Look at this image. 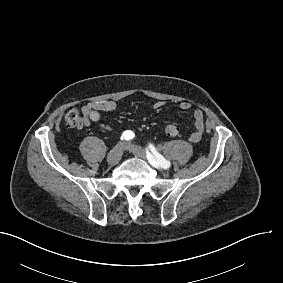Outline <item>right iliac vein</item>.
Here are the masks:
<instances>
[{
	"label": "right iliac vein",
	"mask_w": 283,
	"mask_h": 283,
	"mask_svg": "<svg viewBox=\"0 0 283 283\" xmlns=\"http://www.w3.org/2000/svg\"><path fill=\"white\" fill-rule=\"evenodd\" d=\"M123 153V146H116L107 155V163L114 166L119 163Z\"/></svg>",
	"instance_id": "right-iliac-vein-1"
}]
</instances>
